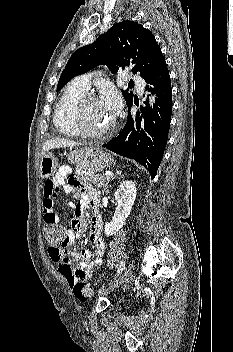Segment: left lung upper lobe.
Instances as JSON below:
<instances>
[{"label": "left lung upper lobe", "instance_id": "left-lung-upper-lobe-1", "mask_svg": "<svg viewBox=\"0 0 233 352\" xmlns=\"http://www.w3.org/2000/svg\"><path fill=\"white\" fill-rule=\"evenodd\" d=\"M164 61L161 48L151 31L136 22L123 21L72 54L60 76L57 91L73 77L99 65H107L112 73L131 67L133 73L139 72L141 77L147 79ZM121 91L128 105L134 95L128 89Z\"/></svg>", "mask_w": 233, "mask_h": 352}]
</instances>
